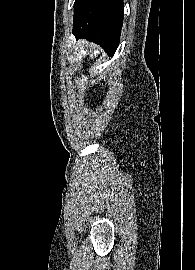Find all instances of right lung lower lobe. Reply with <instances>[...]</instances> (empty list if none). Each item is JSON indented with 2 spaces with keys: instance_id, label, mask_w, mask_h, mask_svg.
<instances>
[{
  "instance_id": "1",
  "label": "right lung lower lobe",
  "mask_w": 195,
  "mask_h": 270,
  "mask_svg": "<svg viewBox=\"0 0 195 270\" xmlns=\"http://www.w3.org/2000/svg\"><path fill=\"white\" fill-rule=\"evenodd\" d=\"M123 16V0H76L73 34L100 44L113 56L119 44Z\"/></svg>"
}]
</instances>
